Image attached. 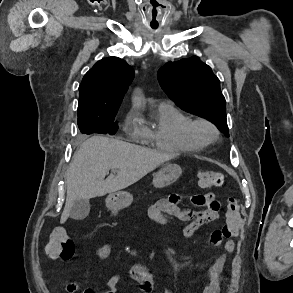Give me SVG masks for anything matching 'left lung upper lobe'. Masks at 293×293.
Listing matches in <instances>:
<instances>
[{"mask_svg": "<svg viewBox=\"0 0 293 293\" xmlns=\"http://www.w3.org/2000/svg\"><path fill=\"white\" fill-rule=\"evenodd\" d=\"M158 81L181 109L206 118L229 136L220 81L198 57L166 63L158 71Z\"/></svg>", "mask_w": 293, "mask_h": 293, "instance_id": "obj_1", "label": "left lung upper lobe"}]
</instances>
